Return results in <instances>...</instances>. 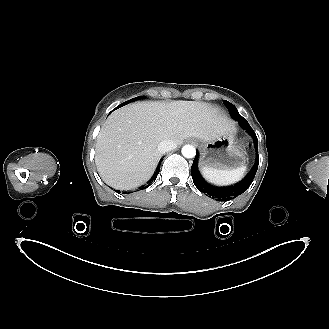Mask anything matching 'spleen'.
Listing matches in <instances>:
<instances>
[{
    "label": "spleen",
    "mask_w": 329,
    "mask_h": 329,
    "mask_svg": "<svg viewBox=\"0 0 329 329\" xmlns=\"http://www.w3.org/2000/svg\"><path fill=\"white\" fill-rule=\"evenodd\" d=\"M246 170V166L232 170L203 168L202 174L204 178L212 184L230 185L240 181L246 173Z\"/></svg>",
    "instance_id": "spleen-1"
}]
</instances>
